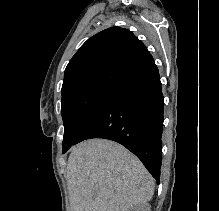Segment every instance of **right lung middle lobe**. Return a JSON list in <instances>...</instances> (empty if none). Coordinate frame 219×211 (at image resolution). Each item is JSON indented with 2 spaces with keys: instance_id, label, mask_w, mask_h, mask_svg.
Instances as JSON below:
<instances>
[{
  "instance_id": "dd1d6c3e",
  "label": "right lung middle lobe",
  "mask_w": 219,
  "mask_h": 211,
  "mask_svg": "<svg viewBox=\"0 0 219 211\" xmlns=\"http://www.w3.org/2000/svg\"><path fill=\"white\" fill-rule=\"evenodd\" d=\"M115 86L110 84L94 85L62 100L63 153L74 144L78 135Z\"/></svg>"
}]
</instances>
